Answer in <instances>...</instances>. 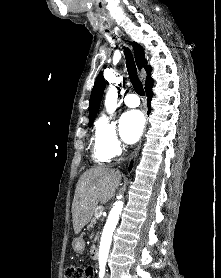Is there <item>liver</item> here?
I'll return each instance as SVG.
<instances>
[{
    "label": "liver",
    "instance_id": "1",
    "mask_svg": "<svg viewBox=\"0 0 221 278\" xmlns=\"http://www.w3.org/2000/svg\"><path fill=\"white\" fill-rule=\"evenodd\" d=\"M121 183V173L109 167H94L85 171L76 185L72 203L74 233L89 223L99 202L109 201Z\"/></svg>",
    "mask_w": 221,
    "mask_h": 278
}]
</instances>
